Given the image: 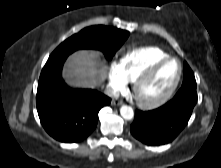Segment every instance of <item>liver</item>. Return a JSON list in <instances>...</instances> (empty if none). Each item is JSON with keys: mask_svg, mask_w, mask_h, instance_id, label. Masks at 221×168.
<instances>
[{"mask_svg": "<svg viewBox=\"0 0 221 168\" xmlns=\"http://www.w3.org/2000/svg\"><path fill=\"white\" fill-rule=\"evenodd\" d=\"M65 76L72 86L83 88L98 87L106 77V69L100 54L94 51H77L64 68Z\"/></svg>", "mask_w": 221, "mask_h": 168, "instance_id": "liver-1", "label": "liver"}]
</instances>
